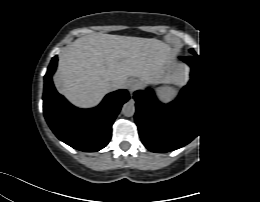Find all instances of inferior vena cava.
Returning a JSON list of instances; mask_svg holds the SVG:
<instances>
[{
  "instance_id": "obj_1",
  "label": "inferior vena cava",
  "mask_w": 260,
  "mask_h": 202,
  "mask_svg": "<svg viewBox=\"0 0 260 202\" xmlns=\"http://www.w3.org/2000/svg\"><path fill=\"white\" fill-rule=\"evenodd\" d=\"M110 86H111L112 89H116V88L120 87V83L118 81H112L110 83Z\"/></svg>"
}]
</instances>
